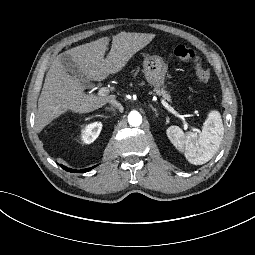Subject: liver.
Returning <instances> with one entry per match:
<instances>
[{
	"label": "liver",
	"instance_id": "6515ba94",
	"mask_svg": "<svg viewBox=\"0 0 255 255\" xmlns=\"http://www.w3.org/2000/svg\"><path fill=\"white\" fill-rule=\"evenodd\" d=\"M154 38L155 34L120 32L112 37L105 36L76 46L64 53L72 58L87 79L101 82L109 75H118L132 57ZM111 39V51L105 60L104 55ZM84 90L85 86L79 76L74 75L61 62L60 55L56 57L46 74L38 100L35 115L36 132L41 133L48 124L68 112L87 114L116 99L115 95L104 97L88 95ZM121 92V89L116 91L117 94Z\"/></svg>",
	"mask_w": 255,
	"mask_h": 255
}]
</instances>
